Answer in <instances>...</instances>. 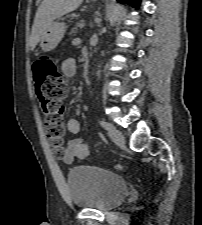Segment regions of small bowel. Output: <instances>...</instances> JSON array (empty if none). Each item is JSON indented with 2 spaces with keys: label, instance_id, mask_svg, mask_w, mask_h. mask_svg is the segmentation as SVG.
Wrapping results in <instances>:
<instances>
[{
  "label": "small bowel",
  "instance_id": "1",
  "mask_svg": "<svg viewBox=\"0 0 202 225\" xmlns=\"http://www.w3.org/2000/svg\"><path fill=\"white\" fill-rule=\"evenodd\" d=\"M87 53L86 51H84ZM61 68L64 74L71 78L75 75L77 70V60L74 57L65 59ZM67 131L71 134L77 135L80 132V122L76 118H68L66 120ZM89 155V144L81 137L71 139L64 150V153L60 155L62 163L66 165H72L75 162L85 160Z\"/></svg>",
  "mask_w": 202,
  "mask_h": 225
}]
</instances>
